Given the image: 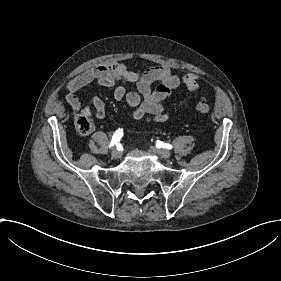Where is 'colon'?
<instances>
[{"label":"colon","mask_w":281,"mask_h":281,"mask_svg":"<svg viewBox=\"0 0 281 281\" xmlns=\"http://www.w3.org/2000/svg\"><path fill=\"white\" fill-rule=\"evenodd\" d=\"M194 109L199 114H208L212 109V105L208 100L200 99L195 102ZM77 129L81 133H89L92 130V122L87 117H81L77 120Z\"/></svg>","instance_id":"5ec220e1"}]
</instances>
